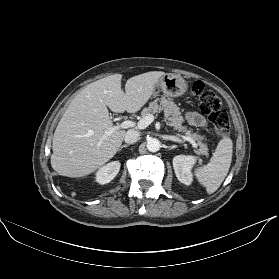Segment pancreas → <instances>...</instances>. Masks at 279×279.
I'll use <instances>...</instances> for the list:
<instances>
[{"label": "pancreas", "instance_id": "cf45deb5", "mask_svg": "<svg viewBox=\"0 0 279 279\" xmlns=\"http://www.w3.org/2000/svg\"><path fill=\"white\" fill-rule=\"evenodd\" d=\"M161 111L164 112L165 119L168 120V124L170 126H172L178 132H185L187 137H190L194 141L196 140L200 146L199 152L203 155L208 154V148L206 144L202 142L204 137L196 133H192L182 125L184 118L181 116L180 109L173 100L166 99L164 97L161 99H156L149 103L147 108L142 110L141 115L144 117L148 114L160 113Z\"/></svg>", "mask_w": 279, "mask_h": 279}]
</instances>
